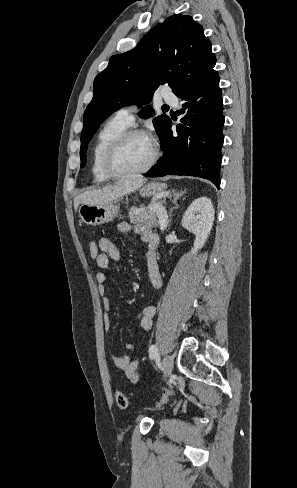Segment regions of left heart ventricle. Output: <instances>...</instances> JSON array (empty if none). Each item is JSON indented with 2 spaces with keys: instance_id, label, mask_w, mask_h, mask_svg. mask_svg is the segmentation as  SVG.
I'll list each match as a JSON object with an SVG mask.
<instances>
[{
  "instance_id": "1",
  "label": "left heart ventricle",
  "mask_w": 297,
  "mask_h": 488,
  "mask_svg": "<svg viewBox=\"0 0 297 488\" xmlns=\"http://www.w3.org/2000/svg\"><path fill=\"white\" fill-rule=\"evenodd\" d=\"M153 143L148 137L130 138L119 150L114 167L120 172H129L145 166L152 157Z\"/></svg>"
}]
</instances>
